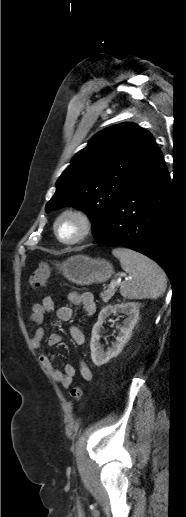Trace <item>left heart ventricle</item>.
<instances>
[{"instance_id": "left-heart-ventricle-1", "label": "left heart ventricle", "mask_w": 186, "mask_h": 517, "mask_svg": "<svg viewBox=\"0 0 186 517\" xmlns=\"http://www.w3.org/2000/svg\"><path fill=\"white\" fill-rule=\"evenodd\" d=\"M58 231L63 239H72L79 233L80 223L74 218L66 217L60 222Z\"/></svg>"}]
</instances>
